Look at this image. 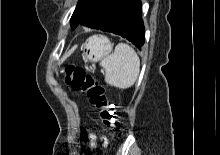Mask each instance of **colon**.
Masks as SVG:
<instances>
[{
  "mask_svg": "<svg viewBox=\"0 0 220 155\" xmlns=\"http://www.w3.org/2000/svg\"><path fill=\"white\" fill-rule=\"evenodd\" d=\"M64 73L65 83L73 90L87 96L89 105L98 112L102 124L109 129L120 130L122 122L107 100L104 88L80 67L67 66Z\"/></svg>",
  "mask_w": 220,
  "mask_h": 155,
  "instance_id": "5ec220e1",
  "label": "colon"
}]
</instances>
